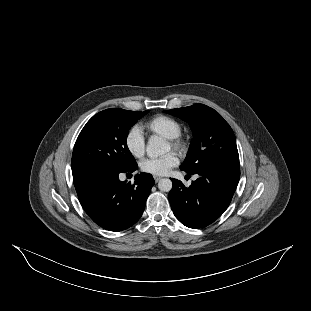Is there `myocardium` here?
Instances as JSON below:
<instances>
[{"mask_svg": "<svg viewBox=\"0 0 311 311\" xmlns=\"http://www.w3.org/2000/svg\"><path fill=\"white\" fill-rule=\"evenodd\" d=\"M168 143L173 149L177 150L183 155H186L189 152L190 142L183 136L168 139Z\"/></svg>", "mask_w": 311, "mask_h": 311, "instance_id": "1", "label": "myocardium"}]
</instances>
